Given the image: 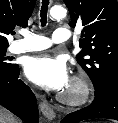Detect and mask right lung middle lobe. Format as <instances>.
I'll list each match as a JSON object with an SVG mask.
<instances>
[{
    "mask_svg": "<svg viewBox=\"0 0 118 123\" xmlns=\"http://www.w3.org/2000/svg\"><path fill=\"white\" fill-rule=\"evenodd\" d=\"M6 48L0 49V71H9L13 69L16 64L8 62V57H5Z\"/></svg>",
    "mask_w": 118,
    "mask_h": 123,
    "instance_id": "dd1d6c3e",
    "label": "right lung middle lobe"
}]
</instances>
